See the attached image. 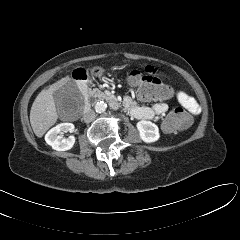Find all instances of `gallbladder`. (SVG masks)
<instances>
[{"instance_id": "gallbladder-1", "label": "gallbladder", "mask_w": 240, "mask_h": 240, "mask_svg": "<svg viewBox=\"0 0 240 240\" xmlns=\"http://www.w3.org/2000/svg\"><path fill=\"white\" fill-rule=\"evenodd\" d=\"M57 112L60 116L74 112L81 104L78 89L73 81L67 82L63 87L53 93Z\"/></svg>"}]
</instances>
